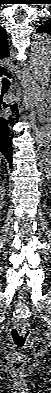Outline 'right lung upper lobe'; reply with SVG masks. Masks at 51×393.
<instances>
[{
	"instance_id": "cb5924a9",
	"label": "right lung upper lobe",
	"mask_w": 51,
	"mask_h": 393,
	"mask_svg": "<svg viewBox=\"0 0 51 393\" xmlns=\"http://www.w3.org/2000/svg\"><path fill=\"white\" fill-rule=\"evenodd\" d=\"M9 46L7 43V35L5 29L0 26V60L9 56ZM7 73L4 67L0 66V74Z\"/></svg>"
}]
</instances>
